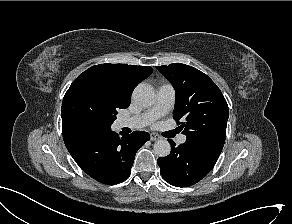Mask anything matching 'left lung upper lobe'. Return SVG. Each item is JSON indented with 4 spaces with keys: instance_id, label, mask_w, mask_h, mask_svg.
Returning a JSON list of instances; mask_svg holds the SVG:
<instances>
[{
    "instance_id": "1",
    "label": "left lung upper lobe",
    "mask_w": 292,
    "mask_h": 224,
    "mask_svg": "<svg viewBox=\"0 0 292 224\" xmlns=\"http://www.w3.org/2000/svg\"><path fill=\"white\" fill-rule=\"evenodd\" d=\"M156 68L176 91L173 118L186 135V143L219 156L229 117L227 102L219 88L206 74L185 64Z\"/></svg>"
}]
</instances>
